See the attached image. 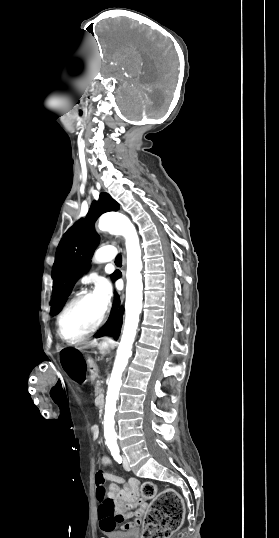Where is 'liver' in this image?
I'll return each mask as SVG.
<instances>
[{
  "label": "liver",
  "mask_w": 279,
  "mask_h": 538,
  "mask_svg": "<svg viewBox=\"0 0 279 538\" xmlns=\"http://www.w3.org/2000/svg\"><path fill=\"white\" fill-rule=\"evenodd\" d=\"M88 346H98L97 342H89Z\"/></svg>",
  "instance_id": "obj_1"
}]
</instances>
